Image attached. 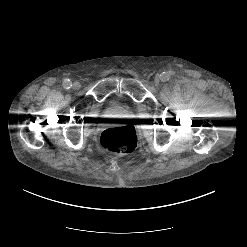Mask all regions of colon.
I'll use <instances>...</instances> for the list:
<instances>
[{"label":"colon","mask_w":247,"mask_h":247,"mask_svg":"<svg viewBox=\"0 0 247 247\" xmlns=\"http://www.w3.org/2000/svg\"><path fill=\"white\" fill-rule=\"evenodd\" d=\"M101 146L114 154L127 155L137 145L136 131L132 126H118L104 130L100 136Z\"/></svg>","instance_id":"5ec220e1"}]
</instances>
